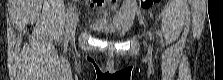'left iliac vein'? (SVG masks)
Listing matches in <instances>:
<instances>
[{"mask_svg":"<svg viewBox=\"0 0 223 80\" xmlns=\"http://www.w3.org/2000/svg\"><path fill=\"white\" fill-rule=\"evenodd\" d=\"M149 37L152 38V34L151 33H149Z\"/></svg>","mask_w":223,"mask_h":80,"instance_id":"obj_1","label":"left iliac vein"}]
</instances>
